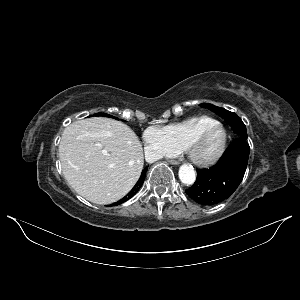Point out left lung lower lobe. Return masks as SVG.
<instances>
[{"label":"left lung lower lobe","instance_id":"0a47b994","mask_svg":"<svg viewBox=\"0 0 300 300\" xmlns=\"http://www.w3.org/2000/svg\"><path fill=\"white\" fill-rule=\"evenodd\" d=\"M250 147L236 138L221 159L211 168L197 170L195 183L186 193L198 204L211 206L232 195L241 183L248 163Z\"/></svg>","mask_w":300,"mask_h":300}]
</instances>
